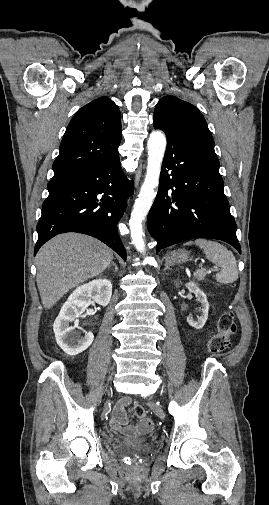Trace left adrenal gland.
<instances>
[{
    "instance_id": "obj_1",
    "label": "left adrenal gland",
    "mask_w": 269,
    "mask_h": 505,
    "mask_svg": "<svg viewBox=\"0 0 269 505\" xmlns=\"http://www.w3.org/2000/svg\"><path fill=\"white\" fill-rule=\"evenodd\" d=\"M166 270H171V268L167 264H165V268L163 271L165 272Z\"/></svg>"
}]
</instances>
